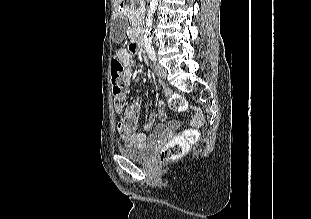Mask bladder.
I'll use <instances>...</instances> for the list:
<instances>
[{"label": "bladder", "instance_id": "1", "mask_svg": "<svg viewBox=\"0 0 311 219\" xmlns=\"http://www.w3.org/2000/svg\"><path fill=\"white\" fill-rule=\"evenodd\" d=\"M118 152L125 158L135 161L145 160L151 153V148L140 145V146H119Z\"/></svg>", "mask_w": 311, "mask_h": 219}]
</instances>
